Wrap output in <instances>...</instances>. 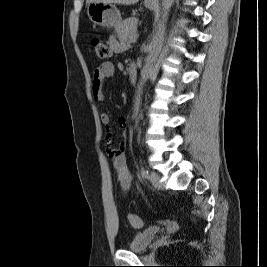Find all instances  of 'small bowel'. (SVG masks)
I'll use <instances>...</instances> for the list:
<instances>
[{"label":"small bowel","mask_w":267,"mask_h":267,"mask_svg":"<svg viewBox=\"0 0 267 267\" xmlns=\"http://www.w3.org/2000/svg\"><path fill=\"white\" fill-rule=\"evenodd\" d=\"M109 45L116 52H120L125 48V45L117 41L114 37H111L109 39ZM113 74H114V65L111 62H103L94 70L91 92L93 97L97 101H102L104 99L103 86L105 80L111 77ZM100 120L102 124L106 127L107 135H106L105 146L107 152L113 159V164L117 171V178L122 188V191L123 193H126L130 189L133 181V175L131 174V172L127 167V160L124 154V142L126 140V135H127L126 133L127 120L125 117H119L117 119L118 126L121 130V145L119 148L112 147L109 115L107 113H102L100 115Z\"/></svg>","instance_id":"obj_1"}]
</instances>
